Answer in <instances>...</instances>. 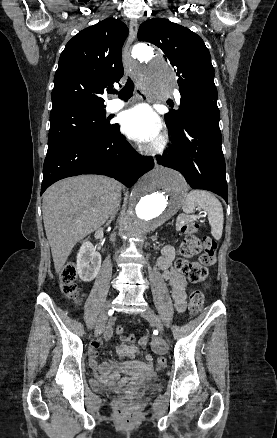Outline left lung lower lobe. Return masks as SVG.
Returning a JSON list of instances; mask_svg holds the SVG:
<instances>
[{"label":"left lung lower lobe","mask_w":277,"mask_h":438,"mask_svg":"<svg viewBox=\"0 0 277 438\" xmlns=\"http://www.w3.org/2000/svg\"><path fill=\"white\" fill-rule=\"evenodd\" d=\"M219 109L212 100L184 111L173 145L157 161L183 174L190 187L212 191L228 202Z\"/></svg>","instance_id":"obj_1"}]
</instances>
